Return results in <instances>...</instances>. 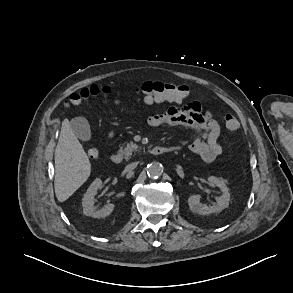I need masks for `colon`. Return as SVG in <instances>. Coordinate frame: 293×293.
<instances>
[{
  "label": "colon",
  "instance_id": "5ec220e1",
  "mask_svg": "<svg viewBox=\"0 0 293 293\" xmlns=\"http://www.w3.org/2000/svg\"><path fill=\"white\" fill-rule=\"evenodd\" d=\"M126 92L128 94L142 95L154 101L168 100L177 103L184 101L188 96L185 86L161 81H145L128 88ZM111 93L112 89L109 86L92 84L69 94L63 100V104L65 106L77 105L90 97H105ZM226 127L230 131H236L239 128V122L235 117L229 115L226 117ZM87 154L91 160H96L99 157L98 150L93 147L88 148Z\"/></svg>",
  "mask_w": 293,
  "mask_h": 293
}]
</instances>
